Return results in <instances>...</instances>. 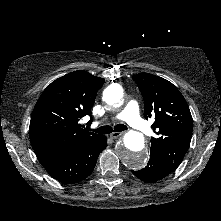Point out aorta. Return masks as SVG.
I'll use <instances>...</instances> for the list:
<instances>
[{
  "instance_id": "762f6f07",
  "label": "aorta",
  "mask_w": 221,
  "mask_h": 221,
  "mask_svg": "<svg viewBox=\"0 0 221 221\" xmlns=\"http://www.w3.org/2000/svg\"><path fill=\"white\" fill-rule=\"evenodd\" d=\"M103 99L114 107L121 106L123 104L121 87L117 84L109 86L104 90ZM117 155L128 168L135 170L142 168L147 160L143 135L137 131H128L117 148Z\"/></svg>"
}]
</instances>
